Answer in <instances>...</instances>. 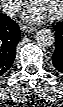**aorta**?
Segmentation results:
<instances>
[{
	"instance_id": "762f6f07",
	"label": "aorta",
	"mask_w": 63,
	"mask_h": 107,
	"mask_svg": "<svg viewBox=\"0 0 63 107\" xmlns=\"http://www.w3.org/2000/svg\"><path fill=\"white\" fill-rule=\"evenodd\" d=\"M35 40L39 46L49 47L55 42V34L50 29H40L37 31Z\"/></svg>"
}]
</instances>
